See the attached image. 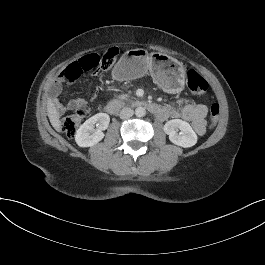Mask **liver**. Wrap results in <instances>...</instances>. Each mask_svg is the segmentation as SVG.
<instances>
[{
  "label": "liver",
  "instance_id": "6515ba94",
  "mask_svg": "<svg viewBox=\"0 0 265 265\" xmlns=\"http://www.w3.org/2000/svg\"><path fill=\"white\" fill-rule=\"evenodd\" d=\"M47 113L50 120L51 125L57 132H61V122H60V114L57 111L52 99L48 98L47 100Z\"/></svg>",
  "mask_w": 265,
  "mask_h": 265
}]
</instances>
